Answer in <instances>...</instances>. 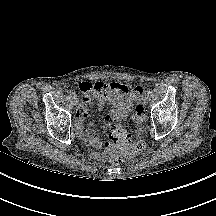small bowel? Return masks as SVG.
<instances>
[{"mask_svg":"<svg viewBox=\"0 0 216 216\" xmlns=\"http://www.w3.org/2000/svg\"><path fill=\"white\" fill-rule=\"evenodd\" d=\"M96 87L98 92L92 96H84L76 113V128L78 135L90 142V144L99 148L102 141L99 136L88 129L86 126L88 119V112L93 103L96 104L99 110H102L107 103L113 105L112 110L108 116V121L124 120L131 110V101L129 99L130 89L127 85L119 82H97Z\"/></svg>","mask_w":216,"mask_h":216,"instance_id":"obj_1","label":"small bowel"}]
</instances>
